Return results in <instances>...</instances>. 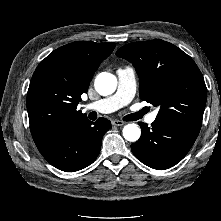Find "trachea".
<instances>
[{
  "label": "trachea",
  "instance_id": "1",
  "mask_svg": "<svg viewBox=\"0 0 221 221\" xmlns=\"http://www.w3.org/2000/svg\"><path fill=\"white\" fill-rule=\"evenodd\" d=\"M146 112H147V110L144 108L137 113H133V114H129V115L125 116L124 120L125 121H136V120L140 119Z\"/></svg>",
  "mask_w": 221,
  "mask_h": 221
}]
</instances>
